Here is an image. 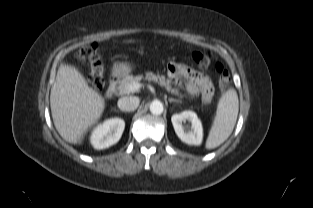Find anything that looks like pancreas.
<instances>
[{
	"label": "pancreas",
	"mask_w": 313,
	"mask_h": 208,
	"mask_svg": "<svg viewBox=\"0 0 313 208\" xmlns=\"http://www.w3.org/2000/svg\"><path fill=\"white\" fill-rule=\"evenodd\" d=\"M142 78H143L142 75L135 76V77L132 75L125 76L122 80H120L118 82L117 94L118 95L129 94L130 93V91L128 89L129 85L134 83V82L139 83ZM145 79H147L148 81H154V82L158 83L160 86L165 87L168 92H170L174 95L179 94L178 90L172 88L170 81L166 80V78L164 76L155 75L152 72H148V73H146Z\"/></svg>",
	"instance_id": "obj_1"
}]
</instances>
